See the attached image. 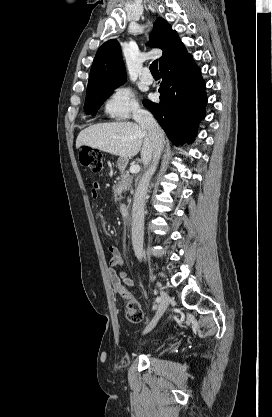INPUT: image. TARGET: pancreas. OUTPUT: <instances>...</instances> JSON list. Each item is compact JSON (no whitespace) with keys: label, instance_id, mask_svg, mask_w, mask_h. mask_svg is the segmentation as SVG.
<instances>
[{"label":"pancreas","instance_id":"obj_1","mask_svg":"<svg viewBox=\"0 0 272 417\" xmlns=\"http://www.w3.org/2000/svg\"><path fill=\"white\" fill-rule=\"evenodd\" d=\"M131 183H132L131 176L127 172L121 171V178L119 179L117 184L113 186L115 201H121V199H123L122 194L125 191L129 190Z\"/></svg>","mask_w":272,"mask_h":417}]
</instances>
